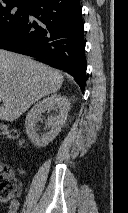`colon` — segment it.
I'll return each instance as SVG.
<instances>
[{
    "label": "colon",
    "mask_w": 128,
    "mask_h": 213,
    "mask_svg": "<svg viewBox=\"0 0 128 213\" xmlns=\"http://www.w3.org/2000/svg\"><path fill=\"white\" fill-rule=\"evenodd\" d=\"M0 137L21 142L19 132L0 122ZM20 194V183L15 171L9 167L0 168V202H7Z\"/></svg>",
    "instance_id": "1"
}]
</instances>
